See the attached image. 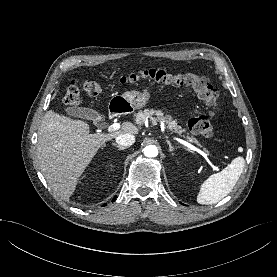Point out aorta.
Instances as JSON below:
<instances>
[{
    "instance_id": "1",
    "label": "aorta",
    "mask_w": 277,
    "mask_h": 277,
    "mask_svg": "<svg viewBox=\"0 0 277 277\" xmlns=\"http://www.w3.org/2000/svg\"><path fill=\"white\" fill-rule=\"evenodd\" d=\"M146 157H156L158 155V149L154 145H148L143 149Z\"/></svg>"
}]
</instances>
